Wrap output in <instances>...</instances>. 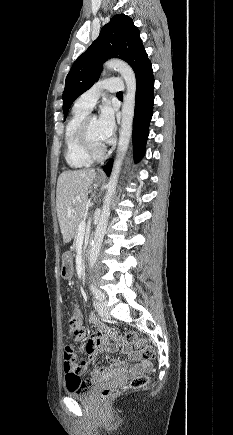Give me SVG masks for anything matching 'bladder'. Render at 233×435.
Segmentation results:
<instances>
[{
  "label": "bladder",
  "mask_w": 233,
  "mask_h": 435,
  "mask_svg": "<svg viewBox=\"0 0 233 435\" xmlns=\"http://www.w3.org/2000/svg\"><path fill=\"white\" fill-rule=\"evenodd\" d=\"M99 384H100L99 382L91 383L89 389L84 392L73 393L70 391H66V394L75 400L87 401L95 396L96 389L98 388Z\"/></svg>",
  "instance_id": "31cf9c89"
}]
</instances>
